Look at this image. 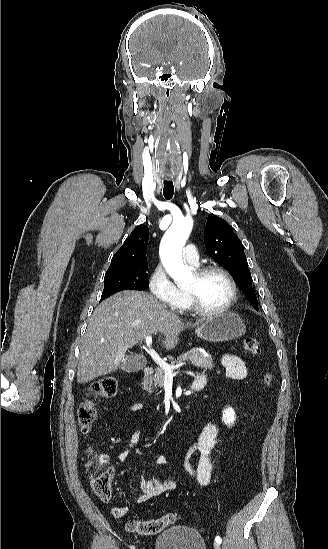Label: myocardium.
<instances>
[{"mask_svg":"<svg viewBox=\"0 0 328 549\" xmlns=\"http://www.w3.org/2000/svg\"><path fill=\"white\" fill-rule=\"evenodd\" d=\"M187 268L190 270L192 269L191 270L192 274L196 278H200L210 271L217 270L226 277L231 288V294L228 301L221 307H218L215 309H206L201 307L200 306L201 302L196 298L195 294L190 289L184 288V292L188 300L187 309H189L199 317H208V316L222 315L228 312L234 306L238 297V284L234 276L231 274V272L228 270V268L225 265L219 262L212 261V262L197 263L193 265L188 264Z\"/></svg>","mask_w":328,"mask_h":549,"instance_id":"obj_1","label":"myocardium"}]
</instances>
